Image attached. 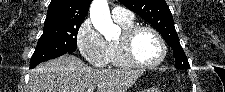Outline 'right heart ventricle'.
<instances>
[{
  "label": "right heart ventricle",
  "mask_w": 225,
  "mask_h": 92,
  "mask_svg": "<svg viewBox=\"0 0 225 92\" xmlns=\"http://www.w3.org/2000/svg\"><path fill=\"white\" fill-rule=\"evenodd\" d=\"M117 23L119 24V26L122 28L123 31L133 26V21L117 22ZM108 48H109L110 62L116 67H124L125 65L121 62L116 42L114 41L108 42Z\"/></svg>",
  "instance_id": "e07e8e85"
}]
</instances>
